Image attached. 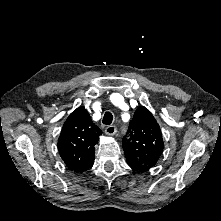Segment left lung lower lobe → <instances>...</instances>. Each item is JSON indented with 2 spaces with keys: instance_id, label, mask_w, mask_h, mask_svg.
I'll return each instance as SVG.
<instances>
[{
  "instance_id": "left-lung-lower-lobe-1",
  "label": "left lung lower lobe",
  "mask_w": 221,
  "mask_h": 221,
  "mask_svg": "<svg viewBox=\"0 0 221 221\" xmlns=\"http://www.w3.org/2000/svg\"><path fill=\"white\" fill-rule=\"evenodd\" d=\"M127 164H128L132 169H134V170H136V171H139L135 163H133V162L127 160Z\"/></svg>"
}]
</instances>
